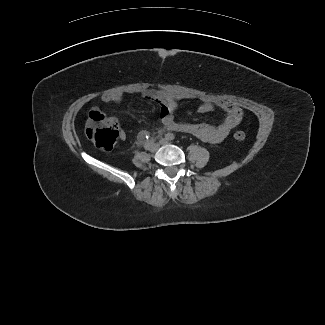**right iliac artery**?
I'll use <instances>...</instances> for the list:
<instances>
[{"label": "right iliac artery", "instance_id": "82829eb1", "mask_svg": "<svg viewBox=\"0 0 325 325\" xmlns=\"http://www.w3.org/2000/svg\"><path fill=\"white\" fill-rule=\"evenodd\" d=\"M154 141H155V139H153V138L147 140L146 143H145V145H144V147L146 149H149V147L154 143Z\"/></svg>", "mask_w": 325, "mask_h": 325}]
</instances>
